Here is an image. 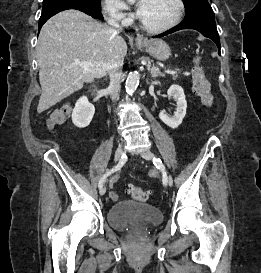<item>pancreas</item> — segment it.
<instances>
[{"label":"pancreas","mask_w":261,"mask_h":273,"mask_svg":"<svg viewBox=\"0 0 261 273\" xmlns=\"http://www.w3.org/2000/svg\"><path fill=\"white\" fill-rule=\"evenodd\" d=\"M176 78H177V75H174V76H173V79H176Z\"/></svg>","instance_id":"cf45deb5"}]
</instances>
